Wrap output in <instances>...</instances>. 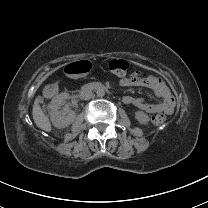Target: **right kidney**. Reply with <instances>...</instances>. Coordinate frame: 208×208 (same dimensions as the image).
<instances>
[{
    "label": "right kidney",
    "instance_id": "1",
    "mask_svg": "<svg viewBox=\"0 0 208 208\" xmlns=\"http://www.w3.org/2000/svg\"><path fill=\"white\" fill-rule=\"evenodd\" d=\"M69 99L68 93H60L50 103V118L53 125L58 129L66 128L75 121L76 114L69 110ZM61 105H64L63 112L68 113L67 116L62 115Z\"/></svg>",
    "mask_w": 208,
    "mask_h": 208
}]
</instances>
